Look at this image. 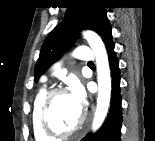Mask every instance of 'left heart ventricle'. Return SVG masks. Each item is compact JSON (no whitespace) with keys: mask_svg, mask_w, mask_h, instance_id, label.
<instances>
[{"mask_svg":"<svg viewBox=\"0 0 155 141\" xmlns=\"http://www.w3.org/2000/svg\"><path fill=\"white\" fill-rule=\"evenodd\" d=\"M82 111L72 101L69 93L55 96L49 109V121L53 128L68 131L78 125Z\"/></svg>","mask_w":155,"mask_h":141,"instance_id":"1","label":"left heart ventricle"}]
</instances>
